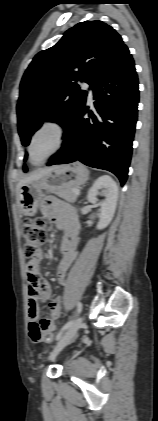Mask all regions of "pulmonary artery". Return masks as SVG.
Instances as JSON below:
<instances>
[{
    "label": "pulmonary artery",
    "mask_w": 158,
    "mask_h": 421,
    "mask_svg": "<svg viewBox=\"0 0 158 421\" xmlns=\"http://www.w3.org/2000/svg\"><path fill=\"white\" fill-rule=\"evenodd\" d=\"M85 89L88 91V99L89 101H92L93 99V90L89 84L85 85Z\"/></svg>",
    "instance_id": "e3ab8cb5"
}]
</instances>
